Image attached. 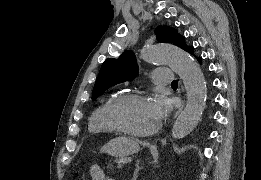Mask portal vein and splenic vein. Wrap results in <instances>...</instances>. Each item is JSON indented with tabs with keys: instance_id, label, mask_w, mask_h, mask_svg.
Instances as JSON below:
<instances>
[{
	"instance_id": "obj_1",
	"label": "portal vein and splenic vein",
	"mask_w": 261,
	"mask_h": 180,
	"mask_svg": "<svg viewBox=\"0 0 261 180\" xmlns=\"http://www.w3.org/2000/svg\"><path fill=\"white\" fill-rule=\"evenodd\" d=\"M114 167H117V170H123L124 166L122 165V161L114 162Z\"/></svg>"
}]
</instances>
